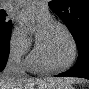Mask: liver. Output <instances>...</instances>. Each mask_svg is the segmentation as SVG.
<instances>
[{
	"label": "liver",
	"mask_w": 89,
	"mask_h": 89,
	"mask_svg": "<svg viewBox=\"0 0 89 89\" xmlns=\"http://www.w3.org/2000/svg\"><path fill=\"white\" fill-rule=\"evenodd\" d=\"M0 86L1 89H34L36 85L39 88H47L48 86H56L61 84H72V83H80L82 80L80 79H72V78H45L39 80H29L25 75H10L4 71L1 74L0 78ZM10 84H12L10 86ZM14 87V88H10Z\"/></svg>",
	"instance_id": "liver-1"
}]
</instances>
